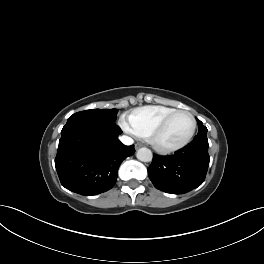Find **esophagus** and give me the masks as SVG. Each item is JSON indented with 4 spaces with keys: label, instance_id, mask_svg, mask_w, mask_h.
I'll use <instances>...</instances> for the list:
<instances>
[{
    "label": "esophagus",
    "instance_id": "34e87169",
    "mask_svg": "<svg viewBox=\"0 0 264 264\" xmlns=\"http://www.w3.org/2000/svg\"><path fill=\"white\" fill-rule=\"evenodd\" d=\"M141 146V144H136L135 147L136 148H139Z\"/></svg>",
    "mask_w": 264,
    "mask_h": 264
}]
</instances>
